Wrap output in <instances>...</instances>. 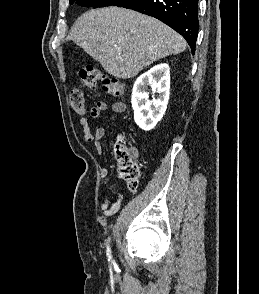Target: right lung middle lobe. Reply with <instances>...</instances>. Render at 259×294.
<instances>
[{"label":"right lung middle lobe","instance_id":"1","mask_svg":"<svg viewBox=\"0 0 259 294\" xmlns=\"http://www.w3.org/2000/svg\"><path fill=\"white\" fill-rule=\"evenodd\" d=\"M76 1L78 5L85 7H106V6H118L121 7L130 0H70V4Z\"/></svg>","mask_w":259,"mask_h":294}]
</instances>
